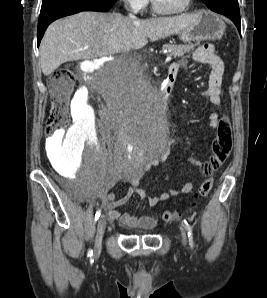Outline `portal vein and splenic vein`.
<instances>
[{"mask_svg":"<svg viewBox=\"0 0 267 298\" xmlns=\"http://www.w3.org/2000/svg\"><path fill=\"white\" fill-rule=\"evenodd\" d=\"M166 60L167 61L171 60V56H167Z\"/></svg>","mask_w":267,"mask_h":298,"instance_id":"18ae733b","label":"portal vein and splenic vein"}]
</instances>
